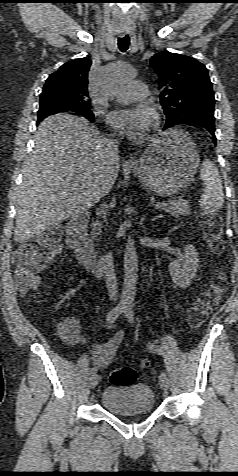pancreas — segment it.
Here are the masks:
<instances>
[{
    "mask_svg": "<svg viewBox=\"0 0 238 476\" xmlns=\"http://www.w3.org/2000/svg\"><path fill=\"white\" fill-rule=\"evenodd\" d=\"M160 210H164L173 217L187 216L189 214V204L188 201L179 198L178 200H171L169 203L158 207ZM102 223L95 221L91 224L92 229V238L90 241L95 239L98 234L101 233Z\"/></svg>",
    "mask_w": 238,
    "mask_h": 476,
    "instance_id": "cf45deb5",
    "label": "pancreas"
}]
</instances>
